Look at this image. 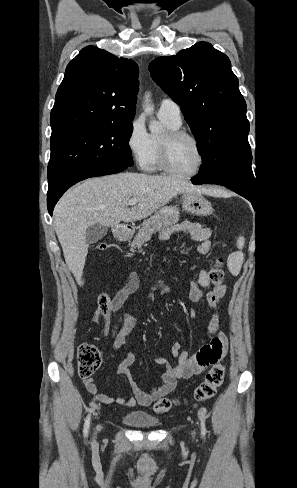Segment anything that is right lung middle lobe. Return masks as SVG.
Returning <instances> with one entry per match:
<instances>
[{"label": "right lung middle lobe", "instance_id": "right-lung-middle-lobe-1", "mask_svg": "<svg viewBox=\"0 0 297 488\" xmlns=\"http://www.w3.org/2000/svg\"><path fill=\"white\" fill-rule=\"evenodd\" d=\"M132 123L71 128L51 135L48 193L87 171L133 165L129 139Z\"/></svg>", "mask_w": 297, "mask_h": 488}]
</instances>
